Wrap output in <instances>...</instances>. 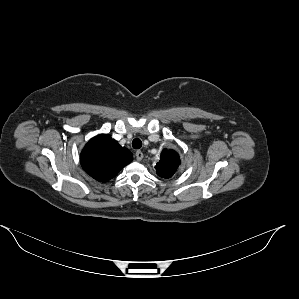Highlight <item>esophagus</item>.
I'll list each match as a JSON object with an SVG mask.
<instances>
[{
    "instance_id": "esophagus-1",
    "label": "esophagus",
    "mask_w": 299,
    "mask_h": 299,
    "mask_svg": "<svg viewBox=\"0 0 299 299\" xmlns=\"http://www.w3.org/2000/svg\"><path fill=\"white\" fill-rule=\"evenodd\" d=\"M135 155H136L137 161H141L143 159V157H144L143 152L140 151V150L136 151Z\"/></svg>"
}]
</instances>
